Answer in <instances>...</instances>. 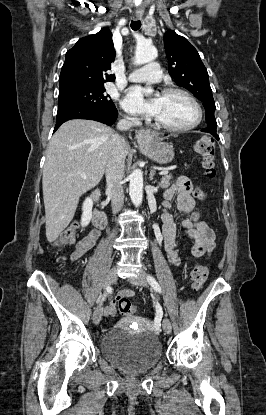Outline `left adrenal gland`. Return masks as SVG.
Segmentation results:
<instances>
[{"label": "left adrenal gland", "instance_id": "1", "mask_svg": "<svg viewBox=\"0 0 266 415\" xmlns=\"http://www.w3.org/2000/svg\"><path fill=\"white\" fill-rule=\"evenodd\" d=\"M154 175H155V170H151V171H150V176H149V179H150V180H153Z\"/></svg>", "mask_w": 266, "mask_h": 415}]
</instances>
